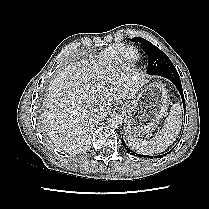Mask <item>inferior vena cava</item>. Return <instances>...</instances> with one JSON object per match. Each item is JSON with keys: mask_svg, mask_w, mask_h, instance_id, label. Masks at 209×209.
Listing matches in <instances>:
<instances>
[{"mask_svg": "<svg viewBox=\"0 0 209 209\" xmlns=\"http://www.w3.org/2000/svg\"><path fill=\"white\" fill-rule=\"evenodd\" d=\"M94 117H99V116H101L102 115V110L101 109H95L94 110Z\"/></svg>", "mask_w": 209, "mask_h": 209, "instance_id": "1", "label": "inferior vena cava"}]
</instances>
